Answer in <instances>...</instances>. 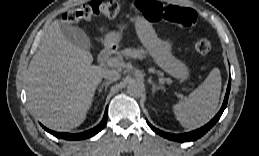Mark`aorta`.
I'll list each match as a JSON object with an SVG mask.
<instances>
[{
	"mask_svg": "<svg viewBox=\"0 0 259 156\" xmlns=\"http://www.w3.org/2000/svg\"><path fill=\"white\" fill-rule=\"evenodd\" d=\"M144 92V86L142 83L137 81H131L127 86V93L134 97L142 96Z\"/></svg>",
	"mask_w": 259,
	"mask_h": 156,
	"instance_id": "obj_1",
	"label": "aorta"
}]
</instances>
